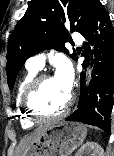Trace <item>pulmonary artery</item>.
I'll list each match as a JSON object with an SVG mask.
<instances>
[{"label":"pulmonary artery","instance_id":"e3ab8cb5","mask_svg":"<svg viewBox=\"0 0 114 156\" xmlns=\"http://www.w3.org/2000/svg\"><path fill=\"white\" fill-rule=\"evenodd\" d=\"M72 38L75 42L77 43H81L82 42V37L80 36V34L74 32L72 34ZM44 62H45V54L44 53H39L35 56L30 57L27 60V67L36 69V70H40L43 68L44 66Z\"/></svg>","mask_w":114,"mask_h":156}]
</instances>
